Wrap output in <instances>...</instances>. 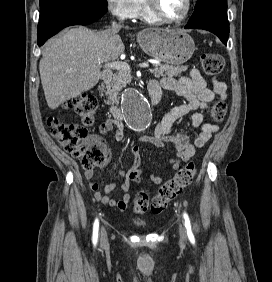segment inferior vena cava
<instances>
[{"instance_id": "602c4592", "label": "inferior vena cava", "mask_w": 272, "mask_h": 282, "mask_svg": "<svg viewBox=\"0 0 272 282\" xmlns=\"http://www.w3.org/2000/svg\"><path fill=\"white\" fill-rule=\"evenodd\" d=\"M120 28H121L120 24H117L116 22H112L111 31H119Z\"/></svg>"}]
</instances>
